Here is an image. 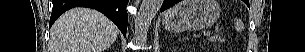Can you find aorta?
I'll return each mask as SVG.
<instances>
[{"instance_id": "aorta-1", "label": "aorta", "mask_w": 305, "mask_h": 52, "mask_svg": "<svg viewBox=\"0 0 305 52\" xmlns=\"http://www.w3.org/2000/svg\"><path fill=\"white\" fill-rule=\"evenodd\" d=\"M163 0H142L141 7L135 19L134 35L137 41H145L147 32Z\"/></svg>"}]
</instances>
